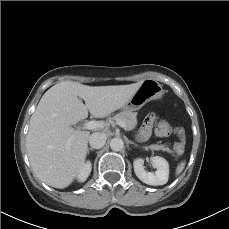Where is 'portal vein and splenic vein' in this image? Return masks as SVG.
I'll return each instance as SVG.
<instances>
[{
	"mask_svg": "<svg viewBox=\"0 0 229 229\" xmlns=\"http://www.w3.org/2000/svg\"><path fill=\"white\" fill-rule=\"evenodd\" d=\"M117 124L122 127V128H126V124L122 121H118ZM104 127L103 122L100 121H89L84 123L83 128L87 129V130H97V129H101Z\"/></svg>",
	"mask_w": 229,
	"mask_h": 229,
	"instance_id": "18ae733b",
	"label": "portal vein and splenic vein"
}]
</instances>
